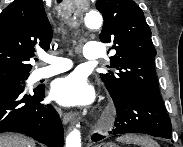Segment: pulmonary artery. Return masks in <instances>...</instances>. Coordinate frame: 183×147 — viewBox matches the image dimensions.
I'll return each instance as SVG.
<instances>
[{
    "instance_id": "obj_1",
    "label": "pulmonary artery",
    "mask_w": 183,
    "mask_h": 147,
    "mask_svg": "<svg viewBox=\"0 0 183 147\" xmlns=\"http://www.w3.org/2000/svg\"><path fill=\"white\" fill-rule=\"evenodd\" d=\"M82 53L87 59L101 58V45L96 42H88L84 45ZM43 61L49 65L46 67L38 68L34 71L35 80L57 75L69 70L72 67L70 60L54 55H46L43 58Z\"/></svg>"
}]
</instances>
